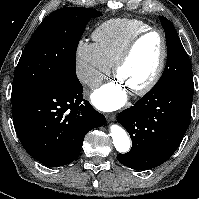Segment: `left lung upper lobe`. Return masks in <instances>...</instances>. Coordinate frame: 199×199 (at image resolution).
Returning a JSON list of instances; mask_svg holds the SVG:
<instances>
[{"label": "left lung upper lobe", "instance_id": "1", "mask_svg": "<svg viewBox=\"0 0 199 199\" xmlns=\"http://www.w3.org/2000/svg\"><path fill=\"white\" fill-rule=\"evenodd\" d=\"M159 18L168 47L167 65L161 79L150 92H160L175 85H194L191 62L174 25L165 17Z\"/></svg>", "mask_w": 199, "mask_h": 199}]
</instances>
